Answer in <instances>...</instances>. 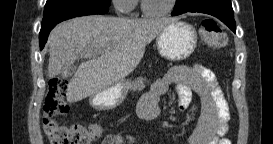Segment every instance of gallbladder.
<instances>
[{
  "mask_svg": "<svg viewBox=\"0 0 273 144\" xmlns=\"http://www.w3.org/2000/svg\"><path fill=\"white\" fill-rule=\"evenodd\" d=\"M76 66L75 65H68L67 71H63L61 75V80H69L70 76H75Z\"/></svg>",
  "mask_w": 273,
  "mask_h": 144,
  "instance_id": "gallbladder-1",
  "label": "gallbladder"
}]
</instances>
